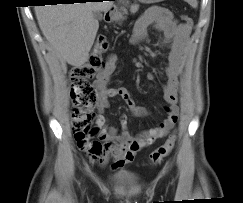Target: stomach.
<instances>
[{"label": "stomach", "mask_w": 243, "mask_h": 203, "mask_svg": "<svg viewBox=\"0 0 243 203\" xmlns=\"http://www.w3.org/2000/svg\"><path fill=\"white\" fill-rule=\"evenodd\" d=\"M127 0H120V2L122 4L126 3ZM139 2L141 3H144V4H153V3H157V2H162L163 0H138ZM119 12L116 10V11H113L110 13L109 17H110V20L111 21H114V20H117L119 18Z\"/></svg>", "instance_id": "stomach-1"}]
</instances>
